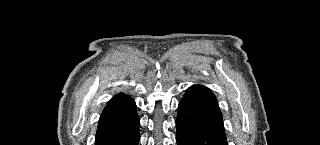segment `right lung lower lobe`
Returning a JSON list of instances; mask_svg holds the SVG:
<instances>
[{
	"label": "right lung lower lobe",
	"mask_w": 320,
	"mask_h": 145,
	"mask_svg": "<svg viewBox=\"0 0 320 145\" xmlns=\"http://www.w3.org/2000/svg\"><path fill=\"white\" fill-rule=\"evenodd\" d=\"M139 118L135 101L115 95L104 108L98 123L95 145H138Z\"/></svg>",
	"instance_id": "right-lung-lower-lobe-1"
}]
</instances>
